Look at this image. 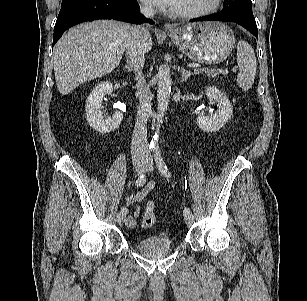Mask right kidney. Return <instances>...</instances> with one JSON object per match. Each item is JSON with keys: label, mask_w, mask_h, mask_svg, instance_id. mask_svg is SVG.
<instances>
[{"label": "right kidney", "mask_w": 307, "mask_h": 301, "mask_svg": "<svg viewBox=\"0 0 307 301\" xmlns=\"http://www.w3.org/2000/svg\"><path fill=\"white\" fill-rule=\"evenodd\" d=\"M113 92V86L110 81H104L98 84L90 93L86 101V118L89 125L101 134L109 133L115 130L123 120V114L115 112L112 118L103 119L101 106L103 97Z\"/></svg>", "instance_id": "ca27d5eb"}]
</instances>
